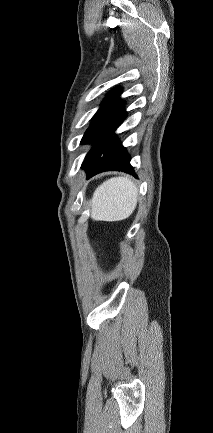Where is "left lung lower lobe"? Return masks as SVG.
<instances>
[{
	"label": "left lung lower lobe",
	"instance_id": "obj_1",
	"mask_svg": "<svg viewBox=\"0 0 213 433\" xmlns=\"http://www.w3.org/2000/svg\"><path fill=\"white\" fill-rule=\"evenodd\" d=\"M125 118L126 116L110 134L96 157L84 168L87 173V179L104 171H122L136 177L133 167L130 165V156L122 144L113 136L115 130Z\"/></svg>",
	"mask_w": 213,
	"mask_h": 433
}]
</instances>
